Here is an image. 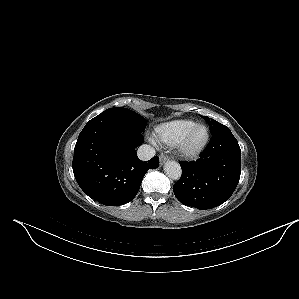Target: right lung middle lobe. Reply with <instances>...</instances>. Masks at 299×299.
<instances>
[{
  "instance_id": "right-lung-middle-lobe-1",
  "label": "right lung middle lobe",
  "mask_w": 299,
  "mask_h": 299,
  "mask_svg": "<svg viewBox=\"0 0 299 299\" xmlns=\"http://www.w3.org/2000/svg\"><path fill=\"white\" fill-rule=\"evenodd\" d=\"M101 114L112 115L120 118L133 126L137 131L143 132L145 129V118L130 109L122 107L109 108Z\"/></svg>"
}]
</instances>
